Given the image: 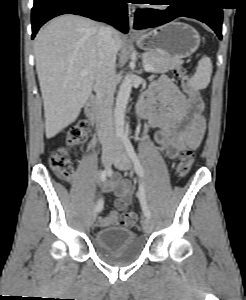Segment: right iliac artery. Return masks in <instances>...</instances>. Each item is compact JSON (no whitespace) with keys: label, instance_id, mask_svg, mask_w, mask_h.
I'll return each instance as SVG.
<instances>
[{"label":"right iliac artery","instance_id":"obj_1","mask_svg":"<svg viewBox=\"0 0 246 300\" xmlns=\"http://www.w3.org/2000/svg\"><path fill=\"white\" fill-rule=\"evenodd\" d=\"M112 170H111V167H107L106 169H104L103 171H101L100 173V180L101 182L104 184L106 179H107V176H109L111 174ZM103 209V202L99 199L97 201V204L95 206V211L96 212H100L101 210Z\"/></svg>","mask_w":246,"mask_h":300}]
</instances>
